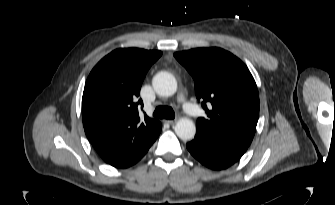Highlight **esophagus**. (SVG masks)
I'll list each match as a JSON object with an SVG mask.
<instances>
[{"mask_svg": "<svg viewBox=\"0 0 335 205\" xmlns=\"http://www.w3.org/2000/svg\"><path fill=\"white\" fill-rule=\"evenodd\" d=\"M166 123L174 125L177 122V119L165 120Z\"/></svg>", "mask_w": 335, "mask_h": 205, "instance_id": "1", "label": "esophagus"}]
</instances>
